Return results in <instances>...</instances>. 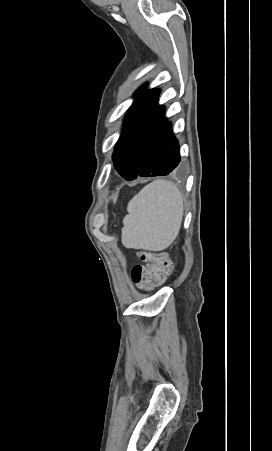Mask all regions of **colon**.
<instances>
[{
    "label": "colon",
    "mask_w": 272,
    "mask_h": 451,
    "mask_svg": "<svg viewBox=\"0 0 272 451\" xmlns=\"http://www.w3.org/2000/svg\"><path fill=\"white\" fill-rule=\"evenodd\" d=\"M135 256L143 262L132 268L134 285L139 288H154L160 285L165 277L172 272V265L164 252L136 249Z\"/></svg>",
    "instance_id": "obj_1"
}]
</instances>
